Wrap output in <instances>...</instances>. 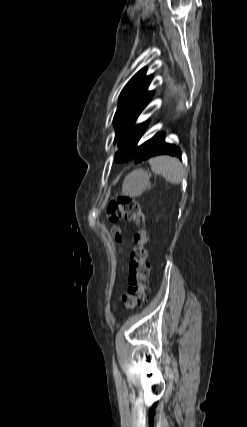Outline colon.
I'll return each instance as SVG.
<instances>
[{
  "instance_id": "1",
  "label": "colon",
  "mask_w": 247,
  "mask_h": 427,
  "mask_svg": "<svg viewBox=\"0 0 247 427\" xmlns=\"http://www.w3.org/2000/svg\"><path fill=\"white\" fill-rule=\"evenodd\" d=\"M106 219L111 225V233L116 240H121L118 222L132 221L141 228L135 236L137 246L130 254L129 278L127 292L121 302L126 309H136L143 305L147 298V284L150 273L146 244L148 233L145 227L146 216L139 204L130 197H119L110 202L106 209Z\"/></svg>"
}]
</instances>
